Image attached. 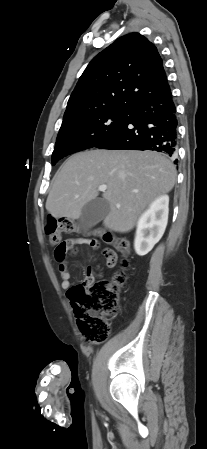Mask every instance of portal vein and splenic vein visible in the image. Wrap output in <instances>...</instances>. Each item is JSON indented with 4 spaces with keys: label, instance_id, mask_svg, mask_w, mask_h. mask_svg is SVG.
Listing matches in <instances>:
<instances>
[{
    "label": "portal vein and splenic vein",
    "instance_id": "18ae733b",
    "mask_svg": "<svg viewBox=\"0 0 207 449\" xmlns=\"http://www.w3.org/2000/svg\"><path fill=\"white\" fill-rule=\"evenodd\" d=\"M98 190L104 192V191L107 190V186H106V185H100V186L98 187Z\"/></svg>",
    "mask_w": 207,
    "mask_h": 449
}]
</instances>
